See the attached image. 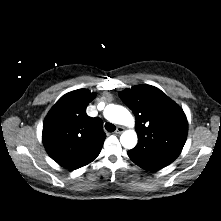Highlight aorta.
Instances as JSON below:
<instances>
[{
  "label": "aorta",
  "mask_w": 221,
  "mask_h": 221,
  "mask_svg": "<svg viewBox=\"0 0 221 221\" xmlns=\"http://www.w3.org/2000/svg\"><path fill=\"white\" fill-rule=\"evenodd\" d=\"M104 117L115 124L132 127L134 118L131 113L123 106L108 104L104 109ZM137 134L134 130L124 131L120 136V142L126 149H132L137 144Z\"/></svg>",
  "instance_id": "1"
}]
</instances>
